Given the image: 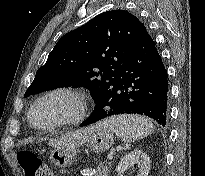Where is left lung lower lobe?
Listing matches in <instances>:
<instances>
[{"label": "left lung lower lobe", "instance_id": "0a47b994", "mask_svg": "<svg viewBox=\"0 0 205 176\" xmlns=\"http://www.w3.org/2000/svg\"><path fill=\"white\" fill-rule=\"evenodd\" d=\"M167 70L147 30L123 62L118 77L80 126L120 114L146 115L161 126L168 119Z\"/></svg>", "mask_w": 205, "mask_h": 176}]
</instances>
